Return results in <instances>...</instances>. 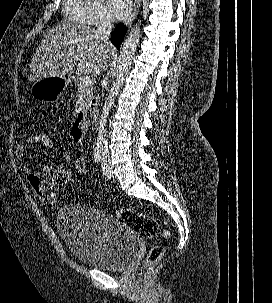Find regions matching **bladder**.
Here are the masks:
<instances>
[{
	"instance_id": "1",
	"label": "bladder",
	"mask_w": 272,
	"mask_h": 303,
	"mask_svg": "<svg viewBox=\"0 0 272 303\" xmlns=\"http://www.w3.org/2000/svg\"><path fill=\"white\" fill-rule=\"evenodd\" d=\"M57 230L72 255L100 270L127 267L139 250L136 232L114 215L82 204L62 206Z\"/></svg>"
}]
</instances>
